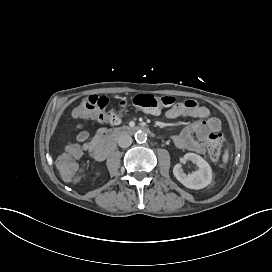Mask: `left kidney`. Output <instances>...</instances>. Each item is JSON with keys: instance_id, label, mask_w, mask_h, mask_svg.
I'll list each match as a JSON object with an SVG mask.
<instances>
[{"instance_id": "left-kidney-1", "label": "left kidney", "mask_w": 272, "mask_h": 272, "mask_svg": "<svg viewBox=\"0 0 272 272\" xmlns=\"http://www.w3.org/2000/svg\"><path fill=\"white\" fill-rule=\"evenodd\" d=\"M183 160H190L199 167L197 171H194L193 173L187 175L183 172L180 163L174 166V176L185 187L198 190L206 187L211 183L212 169L207 161H205L201 156L195 153H186L183 157Z\"/></svg>"}]
</instances>
